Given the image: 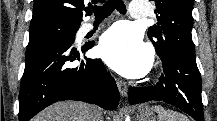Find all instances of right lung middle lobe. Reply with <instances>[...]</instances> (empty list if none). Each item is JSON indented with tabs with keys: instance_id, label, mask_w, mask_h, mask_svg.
<instances>
[{
	"instance_id": "obj_1",
	"label": "right lung middle lobe",
	"mask_w": 217,
	"mask_h": 121,
	"mask_svg": "<svg viewBox=\"0 0 217 121\" xmlns=\"http://www.w3.org/2000/svg\"><path fill=\"white\" fill-rule=\"evenodd\" d=\"M79 27V24H71L56 19L31 22L29 43L51 38H67L74 40Z\"/></svg>"
}]
</instances>
